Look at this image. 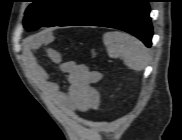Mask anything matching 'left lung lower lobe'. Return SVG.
<instances>
[{
  "instance_id": "0a47b994",
  "label": "left lung lower lobe",
  "mask_w": 182,
  "mask_h": 140,
  "mask_svg": "<svg viewBox=\"0 0 182 140\" xmlns=\"http://www.w3.org/2000/svg\"><path fill=\"white\" fill-rule=\"evenodd\" d=\"M149 0H103L71 25L111 27L126 31L150 47L152 25Z\"/></svg>"
}]
</instances>
